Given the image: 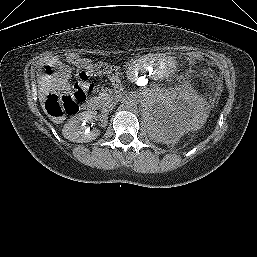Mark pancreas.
<instances>
[{
  "label": "pancreas",
  "instance_id": "obj_1",
  "mask_svg": "<svg viewBox=\"0 0 257 257\" xmlns=\"http://www.w3.org/2000/svg\"><path fill=\"white\" fill-rule=\"evenodd\" d=\"M96 99H98V100L101 101V100H102V96H99V97H97Z\"/></svg>",
  "mask_w": 257,
  "mask_h": 257
}]
</instances>
